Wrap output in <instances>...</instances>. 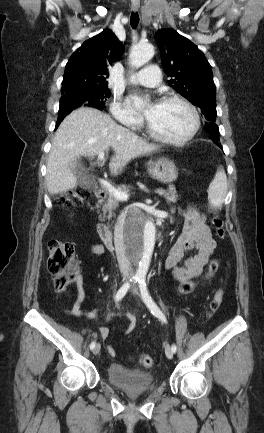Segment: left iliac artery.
<instances>
[{
  "instance_id": "obj_1",
  "label": "left iliac artery",
  "mask_w": 264,
  "mask_h": 433,
  "mask_svg": "<svg viewBox=\"0 0 264 433\" xmlns=\"http://www.w3.org/2000/svg\"><path fill=\"white\" fill-rule=\"evenodd\" d=\"M138 283H139L140 291L142 294V298H143L144 302L146 303L147 307L151 310V313L153 315H155L156 317H158L162 322L167 323V319H166L165 315L162 313V311L159 309V307L156 305V303L153 301V299L149 295V292L147 289V284H146V279L144 277H141L138 279ZM171 349H172L173 353H175L177 350L176 345L173 344Z\"/></svg>"
}]
</instances>
